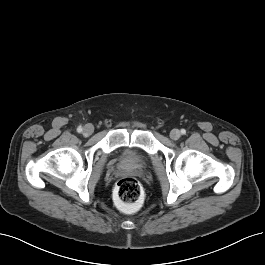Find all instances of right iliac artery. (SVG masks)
<instances>
[{"label": "right iliac artery", "instance_id": "obj_1", "mask_svg": "<svg viewBox=\"0 0 265 265\" xmlns=\"http://www.w3.org/2000/svg\"><path fill=\"white\" fill-rule=\"evenodd\" d=\"M82 130H83L82 127L77 128V132H79V133L82 132Z\"/></svg>", "mask_w": 265, "mask_h": 265}]
</instances>
